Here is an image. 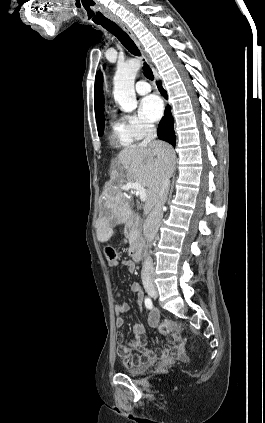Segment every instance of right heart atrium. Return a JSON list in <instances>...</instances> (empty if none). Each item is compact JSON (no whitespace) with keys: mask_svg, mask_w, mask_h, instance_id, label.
I'll return each instance as SVG.
<instances>
[{"mask_svg":"<svg viewBox=\"0 0 265 423\" xmlns=\"http://www.w3.org/2000/svg\"><path fill=\"white\" fill-rule=\"evenodd\" d=\"M125 130L132 141L140 140L154 130V125L136 114H125L122 117Z\"/></svg>","mask_w":265,"mask_h":423,"instance_id":"d8ad5b80","label":"right heart atrium"}]
</instances>
